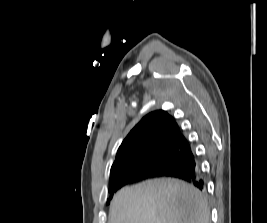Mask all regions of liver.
<instances>
[{"instance_id": "1", "label": "liver", "mask_w": 267, "mask_h": 223, "mask_svg": "<svg viewBox=\"0 0 267 223\" xmlns=\"http://www.w3.org/2000/svg\"><path fill=\"white\" fill-rule=\"evenodd\" d=\"M108 223H210V212L199 190L180 180L162 178L118 191Z\"/></svg>"}]
</instances>
